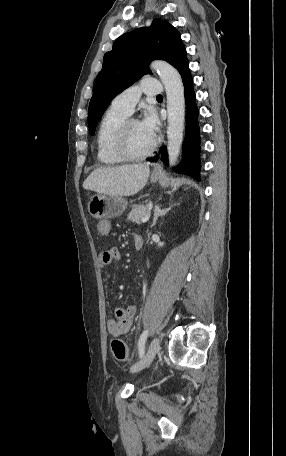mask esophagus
<instances>
[{"mask_svg": "<svg viewBox=\"0 0 286 456\" xmlns=\"http://www.w3.org/2000/svg\"><path fill=\"white\" fill-rule=\"evenodd\" d=\"M161 170H162V169H161V167H160L159 165H156V166L154 167V172H159V171H161Z\"/></svg>", "mask_w": 286, "mask_h": 456, "instance_id": "34e87169", "label": "esophagus"}]
</instances>
